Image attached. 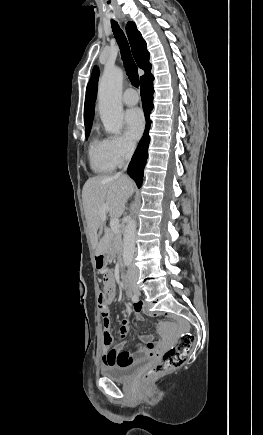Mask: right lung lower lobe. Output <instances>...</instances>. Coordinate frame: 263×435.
Instances as JSON below:
<instances>
[{"label": "right lung lower lobe", "mask_w": 263, "mask_h": 435, "mask_svg": "<svg viewBox=\"0 0 263 435\" xmlns=\"http://www.w3.org/2000/svg\"><path fill=\"white\" fill-rule=\"evenodd\" d=\"M153 80L154 77L150 74L141 81V99L147 124L143 137L139 142L128 168L129 176L136 182L138 187H141L143 170L148 157V145L150 142V137L148 135V129L150 127L149 118L153 109Z\"/></svg>", "instance_id": "right-lung-lower-lobe-1"}]
</instances>
